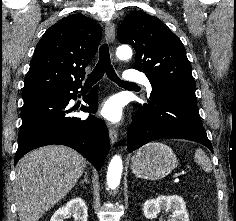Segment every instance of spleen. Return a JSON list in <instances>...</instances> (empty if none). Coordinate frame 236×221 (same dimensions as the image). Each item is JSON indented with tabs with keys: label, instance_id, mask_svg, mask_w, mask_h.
Instances as JSON below:
<instances>
[{
	"label": "spleen",
	"instance_id": "obj_1",
	"mask_svg": "<svg viewBox=\"0 0 236 221\" xmlns=\"http://www.w3.org/2000/svg\"><path fill=\"white\" fill-rule=\"evenodd\" d=\"M194 159L196 162H198V164H200L202 166V168L205 172L212 171V164L202 149L196 150Z\"/></svg>",
	"mask_w": 236,
	"mask_h": 221
}]
</instances>
